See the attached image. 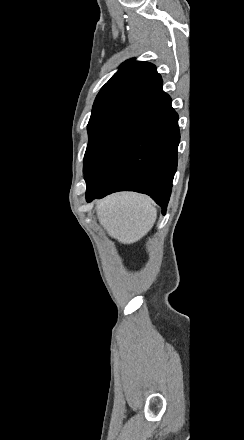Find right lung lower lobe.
<instances>
[{
    "instance_id": "right-lung-lower-lobe-1",
    "label": "right lung lower lobe",
    "mask_w": 244,
    "mask_h": 440,
    "mask_svg": "<svg viewBox=\"0 0 244 440\" xmlns=\"http://www.w3.org/2000/svg\"><path fill=\"white\" fill-rule=\"evenodd\" d=\"M178 115L162 86L115 125L85 173L86 200L117 191L149 195L165 214L177 168Z\"/></svg>"
}]
</instances>
